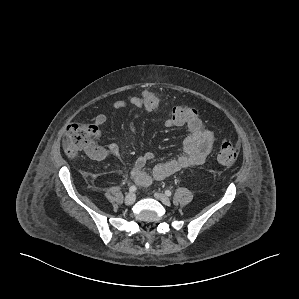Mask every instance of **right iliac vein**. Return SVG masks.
<instances>
[{"label": "right iliac vein", "instance_id": "63e3f726", "mask_svg": "<svg viewBox=\"0 0 299 299\" xmlns=\"http://www.w3.org/2000/svg\"><path fill=\"white\" fill-rule=\"evenodd\" d=\"M136 200V196L134 193H128L124 199L126 205H132Z\"/></svg>", "mask_w": 299, "mask_h": 299}]
</instances>
